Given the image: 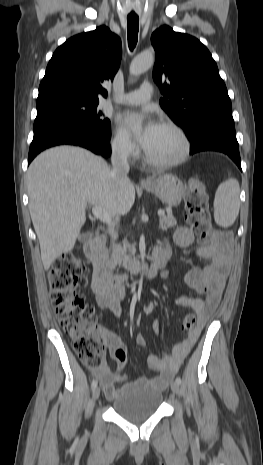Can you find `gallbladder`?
<instances>
[{"label":"gallbladder","mask_w":263,"mask_h":465,"mask_svg":"<svg viewBox=\"0 0 263 465\" xmlns=\"http://www.w3.org/2000/svg\"><path fill=\"white\" fill-rule=\"evenodd\" d=\"M90 238L89 234H82L79 236L80 242L84 243Z\"/></svg>","instance_id":"obj_1"}]
</instances>
